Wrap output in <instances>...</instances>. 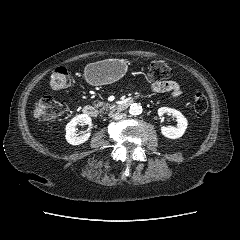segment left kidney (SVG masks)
Instances as JSON below:
<instances>
[{
  "label": "left kidney",
  "mask_w": 240,
  "mask_h": 240,
  "mask_svg": "<svg viewBox=\"0 0 240 240\" xmlns=\"http://www.w3.org/2000/svg\"><path fill=\"white\" fill-rule=\"evenodd\" d=\"M167 113L172 114L176 118L177 126L161 127L162 135L170 139L180 138L187 129V126H188L187 119L184 117V115L180 111L176 109H172L168 107H161L158 109L159 116H162Z\"/></svg>",
  "instance_id": "obj_1"
}]
</instances>
